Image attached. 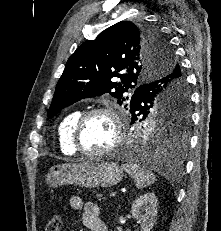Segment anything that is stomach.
I'll list each match as a JSON object with an SVG mask.
<instances>
[{"instance_id": "0dacf381", "label": "stomach", "mask_w": 221, "mask_h": 231, "mask_svg": "<svg viewBox=\"0 0 221 231\" xmlns=\"http://www.w3.org/2000/svg\"><path fill=\"white\" fill-rule=\"evenodd\" d=\"M123 171L114 162L67 163L53 166L45 182L51 187L73 184L85 188L112 187L121 182Z\"/></svg>"}]
</instances>
